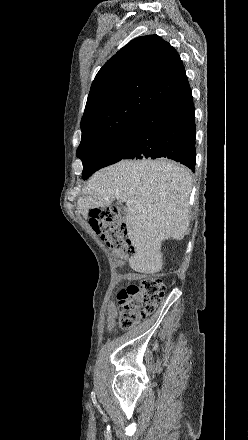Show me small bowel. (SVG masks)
Wrapping results in <instances>:
<instances>
[{
  "instance_id": "small-bowel-1",
  "label": "small bowel",
  "mask_w": 248,
  "mask_h": 440,
  "mask_svg": "<svg viewBox=\"0 0 248 440\" xmlns=\"http://www.w3.org/2000/svg\"><path fill=\"white\" fill-rule=\"evenodd\" d=\"M117 309L114 304L109 305L107 311V327L109 330L115 327V319L117 317Z\"/></svg>"
}]
</instances>
